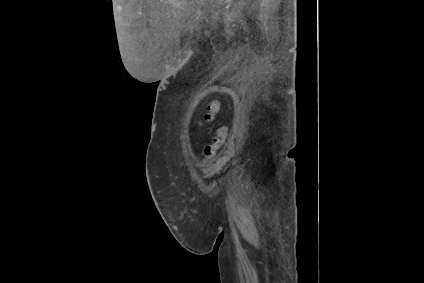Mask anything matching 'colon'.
Instances as JSON below:
<instances>
[{"label": "colon", "instance_id": "5ec220e1", "mask_svg": "<svg viewBox=\"0 0 424 283\" xmlns=\"http://www.w3.org/2000/svg\"><path fill=\"white\" fill-rule=\"evenodd\" d=\"M220 110V104L217 100H212L208 103L203 119L205 122H213ZM211 135V142L204 147V161H209L214 157L220 149L227 137V129L225 127H209L207 129Z\"/></svg>", "mask_w": 424, "mask_h": 283}]
</instances>
